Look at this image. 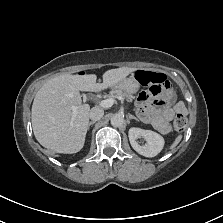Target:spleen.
<instances>
[{"mask_svg": "<svg viewBox=\"0 0 223 223\" xmlns=\"http://www.w3.org/2000/svg\"><path fill=\"white\" fill-rule=\"evenodd\" d=\"M180 140H181V138L178 137L177 140H176V144H177Z\"/></svg>", "mask_w": 223, "mask_h": 223, "instance_id": "1", "label": "spleen"}]
</instances>
